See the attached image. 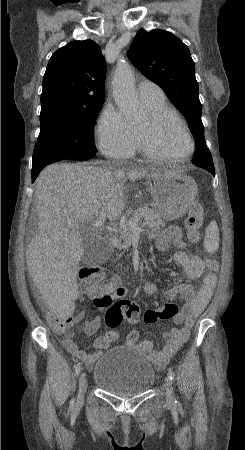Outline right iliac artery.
Wrapping results in <instances>:
<instances>
[{
    "instance_id": "right-iliac-artery-1",
    "label": "right iliac artery",
    "mask_w": 245,
    "mask_h": 450,
    "mask_svg": "<svg viewBox=\"0 0 245 450\" xmlns=\"http://www.w3.org/2000/svg\"><path fill=\"white\" fill-rule=\"evenodd\" d=\"M80 372H81V365L78 364V366L75 369V373H76V375H79ZM73 407H74V400L71 401V408H73Z\"/></svg>"
}]
</instances>
